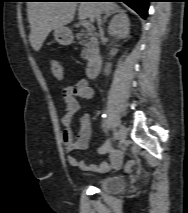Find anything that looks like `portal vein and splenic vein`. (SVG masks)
<instances>
[{
    "mask_svg": "<svg viewBox=\"0 0 188 213\" xmlns=\"http://www.w3.org/2000/svg\"><path fill=\"white\" fill-rule=\"evenodd\" d=\"M81 24H82V26L85 27V28H89V27H90V22L87 21V20H82V21H81Z\"/></svg>",
    "mask_w": 188,
    "mask_h": 213,
    "instance_id": "18ae733b",
    "label": "portal vein and splenic vein"
}]
</instances>
